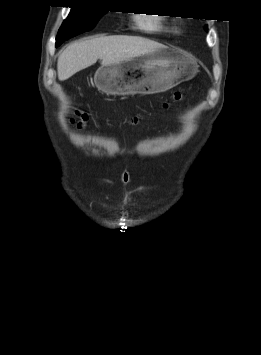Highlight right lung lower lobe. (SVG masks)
Here are the masks:
<instances>
[{"mask_svg":"<svg viewBox=\"0 0 261 355\" xmlns=\"http://www.w3.org/2000/svg\"><path fill=\"white\" fill-rule=\"evenodd\" d=\"M65 40H56V47L60 46Z\"/></svg>","mask_w":261,"mask_h":355,"instance_id":"1","label":"right lung lower lobe"}]
</instances>
